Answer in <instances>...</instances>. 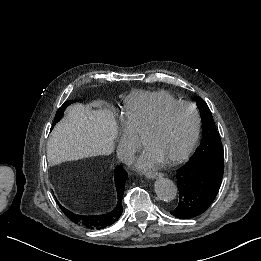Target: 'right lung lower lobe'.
Listing matches in <instances>:
<instances>
[{"label": "right lung lower lobe", "instance_id": "98d812e1", "mask_svg": "<svg viewBox=\"0 0 261 261\" xmlns=\"http://www.w3.org/2000/svg\"><path fill=\"white\" fill-rule=\"evenodd\" d=\"M128 174L124 171L121 166H117L115 169L114 180L115 186L118 193V204L116 208L104 215H93V216H84L75 214L68 209L64 208L62 205H59L63 213L75 224L85 227L87 229L100 230L105 227H108L114 224L120 218L123 207H122V198L124 193V185Z\"/></svg>", "mask_w": 261, "mask_h": 261}]
</instances>
